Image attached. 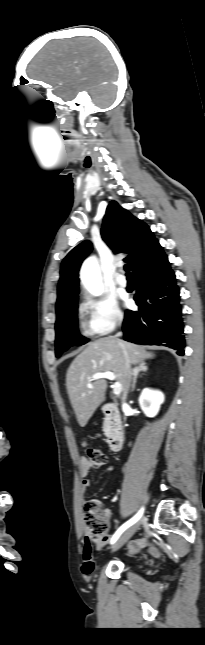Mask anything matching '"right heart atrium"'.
<instances>
[{"mask_svg": "<svg viewBox=\"0 0 205 645\" xmlns=\"http://www.w3.org/2000/svg\"><path fill=\"white\" fill-rule=\"evenodd\" d=\"M79 310L86 319L87 333L94 336L110 334L123 324L125 318L116 300L109 296L87 295Z\"/></svg>", "mask_w": 205, "mask_h": 645, "instance_id": "d8ad5b80", "label": "right heart atrium"}]
</instances>
